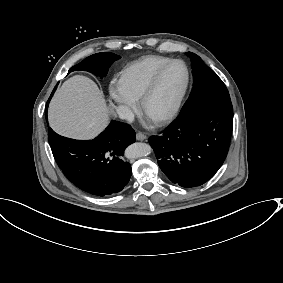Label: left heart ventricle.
<instances>
[{
    "label": "left heart ventricle",
    "instance_id": "1",
    "mask_svg": "<svg viewBox=\"0 0 283 283\" xmlns=\"http://www.w3.org/2000/svg\"><path fill=\"white\" fill-rule=\"evenodd\" d=\"M186 79L182 64L171 65L160 77L153 95L146 103L144 113L151 119H156L167 113L174 105Z\"/></svg>",
    "mask_w": 283,
    "mask_h": 283
}]
</instances>
